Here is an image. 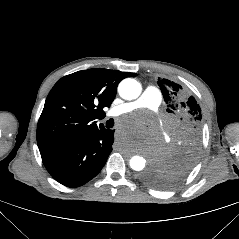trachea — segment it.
Listing matches in <instances>:
<instances>
[{
    "label": "trachea",
    "mask_w": 239,
    "mask_h": 239,
    "mask_svg": "<svg viewBox=\"0 0 239 239\" xmlns=\"http://www.w3.org/2000/svg\"><path fill=\"white\" fill-rule=\"evenodd\" d=\"M113 124H114L113 119H110V120H108V121L106 122V127H107V128H111V127L113 126Z\"/></svg>",
    "instance_id": "3493384b"
}]
</instances>
